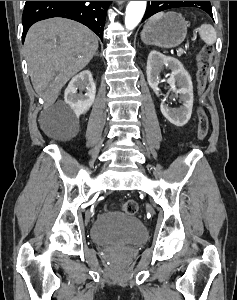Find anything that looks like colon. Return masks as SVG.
<instances>
[{
	"instance_id": "obj_1",
	"label": "colon",
	"mask_w": 237,
	"mask_h": 300,
	"mask_svg": "<svg viewBox=\"0 0 237 300\" xmlns=\"http://www.w3.org/2000/svg\"><path fill=\"white\" fill-rule=\"evenodd\" d=\"M213 56V47L211 45L204 46L197 55V91L199 94L204 92L207 77L209 74L210 64ZM198 116V139L203 140L208 133V117L205 110L199 107L197 110ZM138 204L134 200H128L122 205V211L128 215H135L138 212Z\"/></svg>"
}]
</instances>
